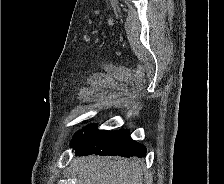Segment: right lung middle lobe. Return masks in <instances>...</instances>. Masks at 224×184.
I'll return each instance as SVG.
<instances>
[{
    "mask_svg": "<svg viewBox=\"0 0 224 184\" xmlns=\"http://www.w3.org/2000/svg\"><path fill=\"white\" fill-rule=\"evenodd\" d=\"M96 125H89L83 128L82 130L78 131L75 135L74 138L72 139L73 144L79 142L83 137H85L87 134H89L91 131L95 129ZM85 132V134H83Z\"/></svg>",
    "mask_w": 224,
    "mask_h": 184,
    "instance_id": "1",
    "label": "right lung middle lobe"
}]
</instances>
